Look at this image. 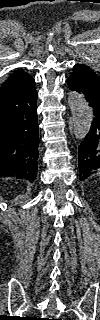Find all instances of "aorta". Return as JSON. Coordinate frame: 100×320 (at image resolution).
Masks as SVG:
<instances>
[{
  "label": "aorta",
  "mask_w": 100,
  "mask_h": 320,
  "mask_svg": "<svg viewBox=\"0 0 100 320\" xmlns=\"http://www.w3.org/2000/svg\"><path fill=\"white\" fill-rule=\"evenodd\" d=\"M68 104L73 116V133L76 139L83 140L92 123V111L81 94L76 91L68 93Z\"/></svg>",
  "instance_id": "1"
}]
</instances>
